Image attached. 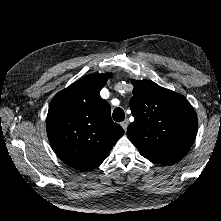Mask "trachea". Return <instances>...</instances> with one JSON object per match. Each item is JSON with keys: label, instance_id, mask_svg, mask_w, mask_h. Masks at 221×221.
Masks as SVG:
<instances>
[{"label": "trachea", "instance_id": "1", "mask_svg": "<svg viewBox=\"0 0 221 221\" xmlns=\"http://www.w3.org/2000/svg\"><path fill=\"white\" fill-rule=\"evenodd\" d=\"M112 116H113L114 121L121 122L125 118V113L122 108L117 107L114 109Z\"/></svg>", "mask_w": 221, "mask_h": 221}]
</instances>
